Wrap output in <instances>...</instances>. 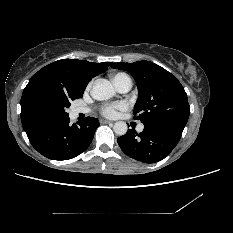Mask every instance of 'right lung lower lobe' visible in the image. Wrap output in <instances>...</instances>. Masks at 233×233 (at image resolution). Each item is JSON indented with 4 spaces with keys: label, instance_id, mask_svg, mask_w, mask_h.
I'll return each mask as SVG.
<instances>
[{
    "label": "right lung lower lobe",
    "instance_id": "right-lung-lower-lobe-1",
    "mask_svg": "<svg viewBox=\"0 0 233 233\" xmlns=\"http://www.w3.org/2000/svg\"><path fill=\"white\" fill-rule=\"evenodd\" d=\"M69 123V117L53 122L28 135L29 141L40 154L49 159H72L89 147L100 124L97 118L92 117H86L78 125Z\"/></svg>",
    "mask_w": 233,
    "mask_h": 233
}]
</instances>
